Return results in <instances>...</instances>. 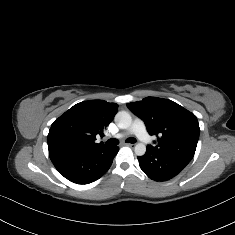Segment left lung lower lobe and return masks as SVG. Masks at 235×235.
Returning <instances> with one entry per match:
<instances>
[{
	"label": "left lung lower lobe",
	"instance_id": "1",
	"mask_svg": "<svg viewBox=\"0 0 235 235\" xmlns=\"http://www.w3.org/2000/svg\"><path fill=\"white\" fill-rule=\"evenodd\" d=\"M142 171L152 180L166 181L178 175L190 162L178 156L148 149L138 157Z\"/></svg>",
	"mask_w": 235,
	"mask_h": 235
}]
</instances>
